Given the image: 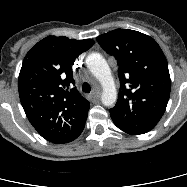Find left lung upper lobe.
Segmentation results:
<instances>
[{
  "mask_svg": "<svg viewBox=\"0 0 187 187\" xmlns=\"http://www.w3.org/2000/svg\"><path fill=\"white\" fill-rule=\"evenodd\" d=\"M97 41L119 66L121 87L109 110L114 124L132 135L149 132L163 116L170 96L164 53L153 38L129 29L113 30Z\"/></svg>",
  "mask_w": 187,
  "mask_h": 187,
  "instance_id": "5c2ea615",
  "label": "left lung upper lobe"
}]
</instances>
